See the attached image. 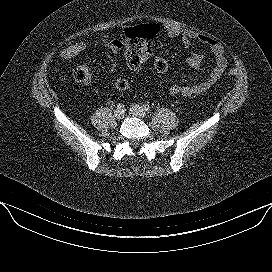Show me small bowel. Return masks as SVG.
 I'll return each instance as SVG.
<instances>
[{
	"instance_id": "1",
	"label": "small bowel",
	"mask_w": 272,
	"mask_h": 272,
	"mask_svg": "<svg viewBox=\"0 0 272 272\" xmlns=\"http://www.w3.org/2000/svg\"><path fill=\"white\" fill-rule=\"evenodd\" d=\"M119 37H111L108 34L102 36L104 44L114 53H123L130 70H138L152 55L151 45L145 46L140 38L135 36L133 28L122 26ZM166 34L170 38H180L183 47H190L193 41L206 46L214 57V67L208 77L195 84H172L169 92L172 95L198 96L207 92L222 76L227 67V58L223 46L206 35L191 30L181 29L174 25L165 27ZM204 56L201 53H191L186 58V63L196 71L202 69Z\"/></svg>"
}]
</instances>
